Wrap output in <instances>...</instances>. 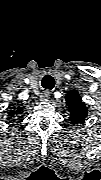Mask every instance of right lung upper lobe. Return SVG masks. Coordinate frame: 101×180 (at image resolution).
I'll return each mask as SVG.
<instances>
[{
	"label": "right lung upper lobe",
	"mask_w": 101,
	"mask_h": 180,
	"mask_svg": "<svg viewBox=\"0 0 101 180\" xmlns=\"http://www.w3.org/2000/svg\"><path fill=\"white\" fill-rule=\"evenodd\" d=\"M19 107H17V108H10L11 110H10V112H9V116L10 117H15V115H17L18 113H21V112H18L19 110L21 111L22 110V108L21 109H19V110H17ZM13 109V110H12Z\"/></svg>",
	"instance_id": "obj_1"
}]
</instances>
